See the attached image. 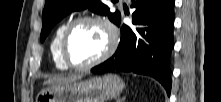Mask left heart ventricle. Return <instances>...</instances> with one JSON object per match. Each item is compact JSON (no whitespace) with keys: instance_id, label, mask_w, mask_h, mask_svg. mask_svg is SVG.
I'll return each instance as SVG.
<instances>
[{"instance_id":"left-heart-ventricle-1","label":"left heart ventricle","mask_w":221,"mask_h":102,"mask_svg":"<svg viewBox=\"0 0 221 102\" xmlns=\"http://www.w3.org/2000/svg\"><path fill=\"white\" fill-rule=\"evenodd\" d=\"M107 42V33L102 26L91 22L80 23L70 33L68 58L77 65L87 64L103 53Z\"/></svg>"}]
</instances>
